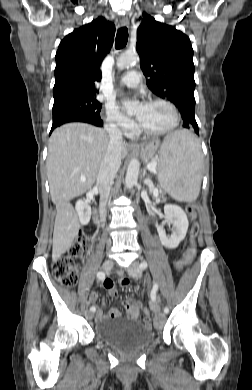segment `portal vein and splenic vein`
<instances>
[{"mask_svg":"<svg viewBox=\"0 0 252 390\" xmlns=\"http://www.w3.org/2000/svg\"><path fill=\"white\" fill-rule=\"evenodd\" d=\"M156 167H157V161H152L147 165V169L154 173H156ZM81 181L84 182L85 179L82 178ZM149 186L153 190L154 195L158 196V191L154 189L153 185L149 184Z\"/></svg>","mask_w":252,"mask_h":390,"instance_id":"18ae733b","label":"portal vein and splenic vein"}]
</instances>
